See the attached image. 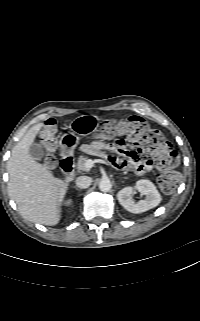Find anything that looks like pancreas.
Returning a JSON list of instances; mask_svg holds the SVG:
<instances>
[{
  "label": "pancreas",
  "instance_id": "obj_1",
  "mask_svg": "<svg viewBox=\"0 0 200 321\" xmlns=\"http://www.w3.org/2000/svg\"><path fill=\"white\" fill-rule=\"evenodd\" d=\"M88 160V158L86 156H80L79 159H78V162H77V168L79 171H86L88 170L86 167H85V163L86 161Z\"/></svg>",
  "mask_w": 200,
  "mask_h": 321
}]
</instances>
